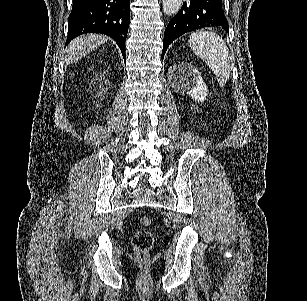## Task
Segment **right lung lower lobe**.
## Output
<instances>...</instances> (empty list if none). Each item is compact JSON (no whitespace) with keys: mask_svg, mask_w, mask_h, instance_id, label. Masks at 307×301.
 Returning <instances> with one entry per match:
<instances>
[{"mask_svg":"<svg viewBox=\"0 0 307 301\" xmlns=\"http://www.w3.org/2000/svg\"><path fill=\"white\" fill-rule=\"evenodd\" d=\"M68 18L66 45L84 33H102L112 37L124 59L130 22L129 0H73Z\"/></svg>","mask_w":307,"mask_h":301,"instance_id":"right-lung-lower-lobe-1","label":"right lung lower lobe"}]
</instances>
